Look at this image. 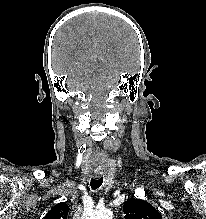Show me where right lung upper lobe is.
Returning <instances> with one entry per match:
<instances>
[{
	"label": "right lung upper lobe",
	"instance_id": "obj_1",
	"mask_svg": "<svg viewBox=\"0 0 206 219\" xmlns=\"http://www.w3.org/2000/svg\"><path fill=\"white\" fill-rule=\"evenodd\" d=\"M69 207L65 202L58 203L46 214L43 219H67Z\"/></svg>",
	"mask_w": 206,
	"mask_h": 219
}]
</instances>
